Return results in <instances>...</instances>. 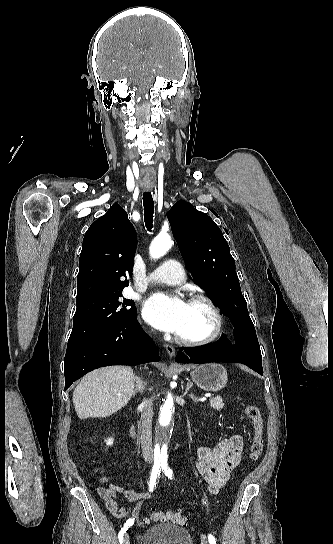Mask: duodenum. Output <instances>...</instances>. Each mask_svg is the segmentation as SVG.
I'll use <instances>...</instances> for the list:
<instances>
[{
	"instance_id": "1",
	"label": "duodenum",
	"mask_w": 333,
	"mask_h": 544,
	"mask_svg": "<svg viewBox=\"0 0 333 544\" xmlns=\"http://www.w3.org/2000/svg\"><path fill=\"white\" fill-rule=\"evenodd\" d=\"M130 435L132 438L134 439L136 438V427L133 423L130 426Z\"/></svg>"
}]
</instances>
